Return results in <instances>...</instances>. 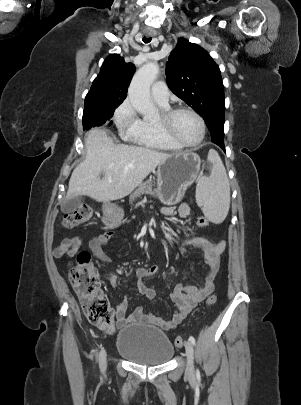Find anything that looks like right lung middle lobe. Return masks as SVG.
<instances>
[{
	"label": "right lung middle lobe",
	"instance_id": "dd1d6c3e",
	"mask_svg": "<svg viewBox=\"0 0 301 405\" xmlns=\"http://www.w3.org/2000/svg\"><path fill=\"white\" fill-rule=\"evenodd\" d=\"M119 105L112 106L105 100H90L85 102L83 112V128L90 129L105 123L112 124L111 118Z\"/></svg>",
	"mask_w": 301,
	"mask_h": 405
}]
</instances>
